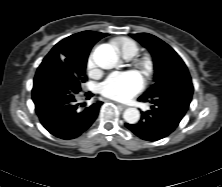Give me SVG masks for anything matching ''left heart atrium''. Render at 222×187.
<instances>
[{"label":"left heart atrium","mask_w":222,"mask_h":187,"mask_svg":"<svg viewBox=\"0 0 222 187\" xmlns=\"http://www.w3.org/2000/svg\"><path fill=\"white\" fill-rule=\"evenodd\" d=\"M143 87L141 74L135 70H127L109 74L100 84L99 90L108 98L125 102L138 94Z\"/></svg>","instance_id":"1"}]
</instances>
